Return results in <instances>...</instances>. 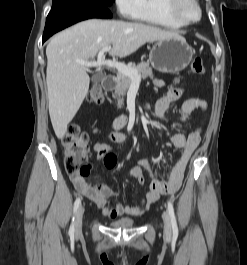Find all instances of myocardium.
I'll use <instances>...</instances> for the list:
<instances>
[{
  "label": "myocardium",
  "mask_w": 247,
  "mask_h": 265,
  "mask_svg": "<svg viewBox=\"0 0 247 265\" xmlns=\"http://www.w3.org/2000/svg\"><path fill=\"white\" fill-rule=\"evenodd\" d=\"M191 3L197 9L198 15L194 19H189L184 15V6ZM167 8L174 19L182 25H191L199 22L202 18V8L198 0H168Z\"/></svg>",
  "instance_id": "1"
}]
</instances>
